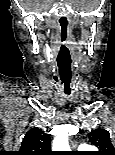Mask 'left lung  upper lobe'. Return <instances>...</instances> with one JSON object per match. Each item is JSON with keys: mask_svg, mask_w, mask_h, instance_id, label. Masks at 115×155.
I'll list each match as a JSON object with an SVG mask.
<instances>
[{"mask_svg": "<svg viewBox=\"0 0 115 155\" xmlns=\"http://www.w3.org/2000/svg\"><path fill=\"white\" fill-rule=\"evenodd\" d=\"M91 144L100 149L97 155H115V149L110 140L108 131L102 128L95 129L89 133Z\"/></svg>", "mask_w": 115, "mask_h": 155, "instance_id": "5c2ea615", "label": "left lung upper lobe"}]
</instances>
